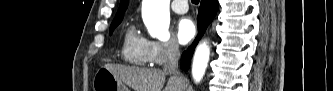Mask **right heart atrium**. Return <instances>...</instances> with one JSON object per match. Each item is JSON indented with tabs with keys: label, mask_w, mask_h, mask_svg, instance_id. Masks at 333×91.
<instances>
[{
	"label": "right heart atrium",
	"mask_w": 333,
	"mask_h": 91,
	"mask_svg": "<svg viewBox=\"0 0 333 91\" xmlns=\"http://www.w3.org/2000/svg\"><path fill=\"white\" fill-rule=\"evenodd\" d=\"M147 54L151 64L164 65L178 58L180 48L176 40H147Z\"/></svg>",
	"instance_id": "d8ad5b80"
}]
</instances>
